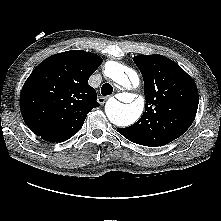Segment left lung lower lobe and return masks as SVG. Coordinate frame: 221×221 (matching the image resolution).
Listing matches in <instances>:
<instances>
[{
  "label": "left lung lower lobe",
  "instance_id": "obj_1",
  "mask_svg": "<svg viewBox=\"0 0 221 221\" xmlns=\"http://www.w3.org/2000/svg\"><path fill=\"white\" fill-rule=\"evenodd\" d=\"M119 132H120L123 136H125V134L121 131V129H119Z\"/></svg>",
  "mask_w": 221,
  "mask_h": 221
}]
</instances>
